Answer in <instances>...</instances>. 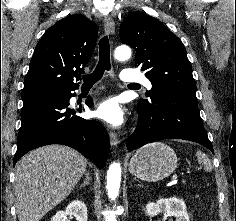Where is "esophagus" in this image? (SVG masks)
<instances>
[{
    "label": "esophagus",
    "instance_id": "1",
    "mask_svg": "<svg viewBox=\"0 0 236 221\" xmlns=\"http://www.w3.org/2000/svg\"><path fill=\"white\" fill-rule=\"evenodd\" d=\"M104 29H105L106 34L114 35V33H115V23H114V21H113V19L111 17H107L104 20ZM109 138H110V145H111V147L116 148L117 145L120 142L117 134L111 131L109 133Z\"/></svg>",
    "mask_w": 236,
    "mask_h": 221
}]
</instances>
